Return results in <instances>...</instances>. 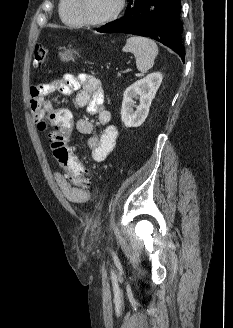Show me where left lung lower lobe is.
Here are the masks:
<instances>
[{"label": "left lung lower lobe", "mask_w": 233, "mask_h": 328, "mask_svg": "<svg viewBox=\"0 0 233 328\" xmlns=\"http://www.w3.org/2000/svg\"><path fill=\"white\" fill-rule=\"evenodd\" d=\"M124 17L97 29L101 33H127L153 38L175 51L184 61L180 0H128Z\"/></svg>", "instance_id": "0a47b994"}]
</instances>
